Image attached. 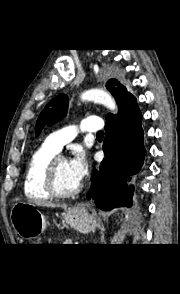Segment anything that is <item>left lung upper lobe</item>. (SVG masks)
Instances as JSON below:
<instances>
[{
	"instance_id": "obj_1",
	"label": "left lung upper lobe",
	"mask_w": 180,
	"mask_h": 294,
	"mask_svg": "<svg viewBox=\"0 0 180 294\" xmlns=\"http://www.w3.org/2000/svg\"><path fill=\"white\" fill-rule=\"evenodd\" d=\"M106 88L116 99L119 109L130 97L133 96L131 93L127 92V89L116 79H110L106 83ZM67 108V95L61 94L53 98L39 115L36 122V134L38 135L47 125H52L61 120L65 116ZM112 116L114 115L108 114L106 119L108 120Z\"/></svg>"
}]
</instances>
